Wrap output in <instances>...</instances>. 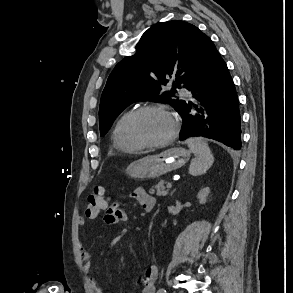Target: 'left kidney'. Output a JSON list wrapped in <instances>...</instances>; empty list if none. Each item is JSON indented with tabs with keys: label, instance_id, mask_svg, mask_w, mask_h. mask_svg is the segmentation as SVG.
<instances>
[{
	"label": "left kidney",
	"instance_id": "obj_1",
	"mask_svg": "<svg viewBox=\"0 0 293 293\" xmlns=\"http://www.w3.org/2000/svg\"><path fill=\"white\" fill-rule=\"evenodd\" d=\"M209 194H210L209 187L202 188L197 194V199L199 200V204H205L207 202Z\"/></svg>",
	"mask_w": 293,
	"mask_h": 293
}]
</instances>
